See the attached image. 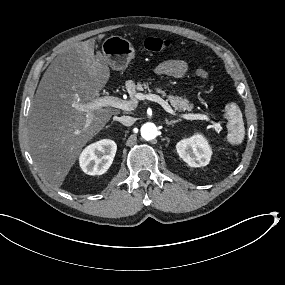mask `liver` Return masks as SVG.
Instances as JSON below:
<instances>
[{"mask_svg":"<svg viewBox=\"0 0 285 285\" xmlns=\"http://www.w3.org/2000/svg\"><path fill=\"white\" fill-rule=\"evenodd\" d=\"M105 36H99L103 39ZM95 39L78 42L60 53L45 71L28 117V149L35 166L60 188L84 147L120 110H93L86 132L80 133L87 112L81 105L100 98L110 77L105 57L94 54Z\"/></svg>","mask_w":285,"mask_h":285,"instance_id":"1","label":"liver"}]
</instances>
